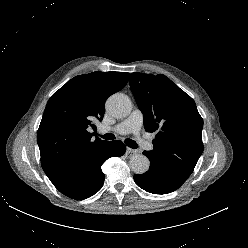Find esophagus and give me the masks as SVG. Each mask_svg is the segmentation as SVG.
<instances>
[{"mask_svg": "<svg viewBox=\"0 0 248 248\" xmlns=\"http://www.w3.org/2000/svg\"><path fill=\"white\" fill-rule=\"evenodd\" d=\"M137 152H138V151L135 150V149L127 148V150H126V155L129 156V157H131V156L137 154Z\"/></svg>", "mask_w": 248, "mask_h": 248, "instance_id": "obj_1", "label": "esophagus"}]
</instances>
